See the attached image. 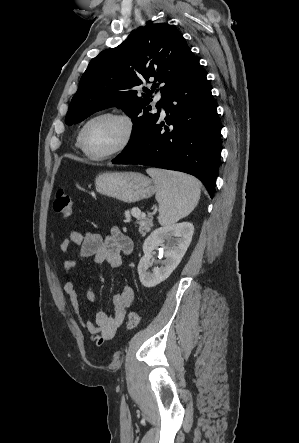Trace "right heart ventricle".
Returning a JSON list of instances; mask_svg holds the SVG:
<instances>
[{
	"label": "right heart ventricle",
	"mask_w": 299,
	"mask_h": 443,
	"mask_svg": "<svg viewBox=\"0 0 299 443\" xmlns=\"http://www.w3.org/2000/svg\"><path fill=\"white\" fill-rule=\"evenodd\" d=\"M79 134H80V133H79ZM79 134H78V136H77V138H76V143H75V144H76V147H78V148H80V147H79Z\"/></svg>",
	"instance_id": "right-heart-ventricle-1"
}]
</instances>
